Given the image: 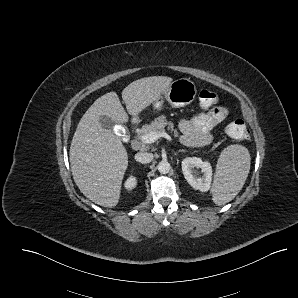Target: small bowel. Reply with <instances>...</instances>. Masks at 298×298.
Instances as JSON below:
<instances>
[{"instance_id":"c3829d8e","label":"small bowel","mask_w":298,"mask_h":298,"mask_svg":"<svg viewBox=\"0 0 298 298\" xmlns=\"http://www.w3.org/2000/svg\"><path fill=\"white\" fill-rule=\"evenodd\" d=\"M228 116V109L223 106L212 108L206 113L199 114L191 119H182L179 123L184 140L188 145H203L210 142L211 131Z\"/></svg>"}]
</instances>
